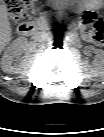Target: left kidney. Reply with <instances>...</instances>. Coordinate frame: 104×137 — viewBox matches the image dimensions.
Instances as JSON below:
<instances>
[{"label": "left kidney", "mask_w": 104, "mask_h": 137, "mask_svg": "<svg viewBox=\"0 0 104 137\" xmlns=\"http://www.w3.org/2000/svg\"><path fill=\"white\" fill-rule=\"evenodd\" d=\"M103 51L99 50L97 51V58L95 59V64L97 66L98 69H102L103 68Z\"/></svg>", "instance_id": "1"}]
</instances>
